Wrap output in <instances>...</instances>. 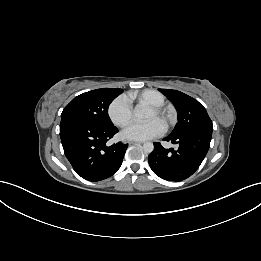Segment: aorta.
<instances>
[{
  "label": "aorta",
  "instance_id": "aorta-1",
  "mask_svg": "<svg viewBox=\"0 0 261 261\" xmlns=\"http://www.w3.org/2000/svg\"><path fill=\"white\" fill-rule=\"evenodd\" d=\"M147 116V112L144 110V109H142V108H139V107H137L136 109H135V111H134V117L136 118V119H138V120H140V119H143V118H145ZM143 151L145 152V153H151L152 151H153V149H154V145H153V143H151V142H146V143H144L143 144Z\"/></svg>",
  "mask_w": 261,
  "mask_h": 261
}]
</instances>
